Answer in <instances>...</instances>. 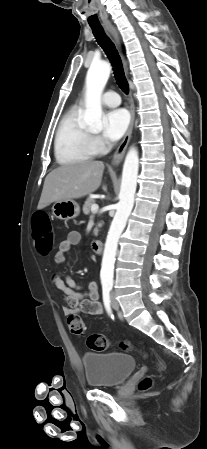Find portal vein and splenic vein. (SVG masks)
<instances>
[{
	"label": "portal vein and splenic vein",
	"instance_id": "portal-vein-and-splenic-vein-1",
	"mask_svg": "<svg viewBox=\"0 0 207 449\" xmlns=\"http://www.w3.org/2000/svg\"><path fill=\"white\" fill-rule=\"evenodd\" d=\"M98 209H99V207H98L97 204H93L92 207H91V211H92L93 213H96V212L98 211Z\"/></svg>",
	"mask_w": 207,
	"mask_h": 449
}]
</instances>
